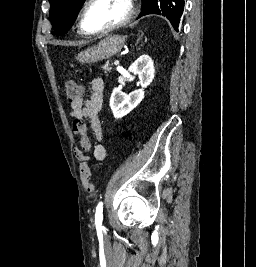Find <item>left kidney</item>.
I'll list each match as a JSON object with an SVG mask.
<instances>
[{"label": "left kidney", "instance_id": "left-kidney-1", "mask_svg": "<svg viewBox=\"0 0 256 267\" xmlns=\"http://www.w3.org/2000/svg\"><path fill=\"white\" fill-rule=\"evenodd\" d=\"M128 72L138 74L141 88L140 90L130 92V94H125L120 88H114L109 102L114 118L127 116L133 108H136V106L142 102L144 98V88H147L154 80V62L150 56L143 54V56L137 58V60L129 66Z\"/></svg>", "mask_w": 256, "mask_h": 267}]
</instances>
